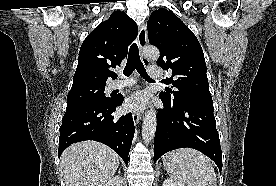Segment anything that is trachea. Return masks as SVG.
I'll return each mask as SVG.
<instances>
[{"label":"trachea","instance_id":"3493384b","mask_svg":"<svg viewBox=\"0 0 276 186\" xmlns=\"http://www.w3.org/2000/svg\"><path fill=\"white\" fill-rule=\"evenodd\" d=\"M135 69L145 80L151 82L154 81L152 78L148 76L143 63L140 60L138 46L136 45V43H133L130 47L127 64L125 66L123 73L126 76H130Z\"/></svg>","mask_w":276,"mask_h":186}]
</instances>
